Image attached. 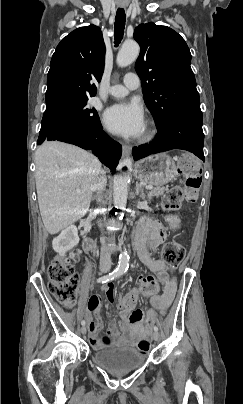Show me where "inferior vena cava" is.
<instances>
[{"label":"inferior vena cava","instance_id":"602c4592","mask_svg":"<svg viewBox=\"0 0 243 404\" xmlns=\"http://www.w3.org/2000/svg\"><path fill=\"white\" fill-rule=\"evenodd\" d=\"M101 174L102 176H99L98 178V184H95L94 188L95 190H97V194H98V200L97 202H100V194L104 188V186H106V178L104 176L105 172H103V170H101ZM101 252H100V265L99 268L101 271H104L106 274H109L111 272V254L108 250V246L106 244V240L105 238H101Z\"/></svg>","mask_w":243,"mask_h":404}]
</instances>
